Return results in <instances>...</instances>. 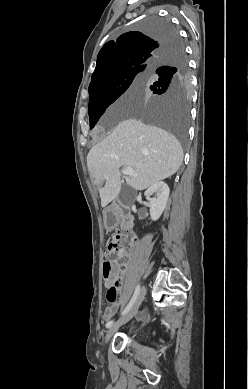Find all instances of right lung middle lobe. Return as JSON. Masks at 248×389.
I'll use <instances>...</instances> for the list:
<instances>
[{
  "mask_svg": "<svg viewBox=\"0 0 248 389\" xmlns=\"http://www.w3.org/2000/svg\"><path fill=\"white\" fill-rule=\"evenodd\" d=\"M138 28L154 38L177 37L169 20H162L156 16L145 18ZM156 69L165 71L156 73ZM143 82L150 85L155 98L145 103L133 101L120 104L118 113L134 115L147 123L163 127L185 145L190 112L189 73L185 55L175 51L163 56L159 63L148 70L136 67L112 72L90 89L88 107L90 129L130 85Z\"/></svg>",
  "mask_w": 248,
  "mask_h": 389,
  "instance_id": "dd1d6c3e",
  "label": "right lung middle lobe"
}]
</instances>
